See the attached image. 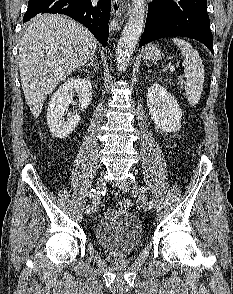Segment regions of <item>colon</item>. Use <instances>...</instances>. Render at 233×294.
Segmentation results:
<instances>
[{
  "mask_svg": "<svg viewBox=\"0 0 233 294\" xmlns=\"http://www.w3.org/2000/svg\"><path fill=\"white\" fill-rule=\"evenodd\" d=\"M121 209L129 210L132 207V202L128 199L122 200L119 203Z\"/></svg>",
  "mask_w": 233,
  "mask_h": 294,
  "instance_id": "5ec220e1",
  "label": "colon"
}]
</instances>
